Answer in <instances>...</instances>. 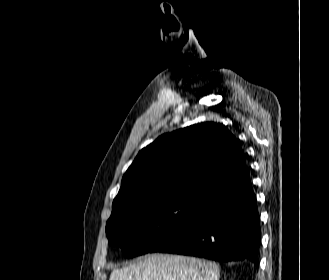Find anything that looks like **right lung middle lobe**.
Instances as JSON below:
<instances>
[{"mask_svg": "<svg viewBox=\"0 0 329 280\" xmlns=\"http://www.w3.org/2000/svg\"><path fill=\"white\" fill-rule=\"evenodd\" d=\"M200 200L174 196L114 204L106 225L109 243L128 258L149 253L187 219Z\"/></svg>", "mask_w": 329, "mask_h": 280, "instance_id": "right-lung-middle-lobe-1", "label": "right lung middle lobe"}]
</instances>
